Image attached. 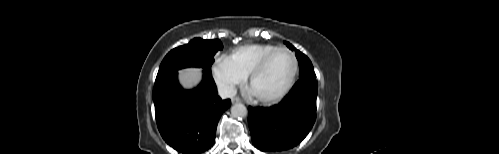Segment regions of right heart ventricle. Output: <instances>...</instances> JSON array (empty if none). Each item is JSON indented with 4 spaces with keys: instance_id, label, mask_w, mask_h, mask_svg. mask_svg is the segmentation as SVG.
Instances as JSON below:
<instances>
[{
    "instance_id": "e07e8e85",
    "label": "right heart ventricle",
    "mask_w": 499,
    "mask_h": 154,
    "mask_svg": "<svg viewBox=\"0 0 499 154\" xmlns=\"http://www.w3.org/2000/svg\"><path fill=\"white\" fill-rule=\"evenodd\" d=\"M276 48L271 44H247L232 50L228 58L247 76L265 55Z\"/></svg>"
}]
</instances>
